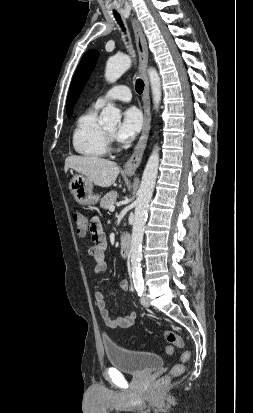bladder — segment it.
Here are the masks:
<instances>
[{
  "instance_id": "bladder-1",
  "label": "bladder",
  "mask_w": 253,
  "mask_h": 413,
  "mask_svg": "<svg viewBox=\"0 0 253 413\" xmlns=\"http://www.w3.org/2000/svg\"><path fill=\"white\" fill-rule=\"evenodd\" d=\"M103 348L112 367L133 375L150 372L164 363L158 354L127 349L110 341H104Z\"/></svg>"
}]
</instances>
